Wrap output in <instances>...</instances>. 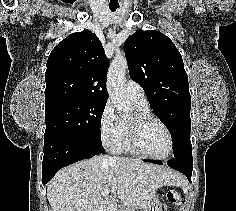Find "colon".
Masks as SVG:
<instances>
[{
	"label": "colon",
	"mask_w": 236,
	"mask_h": 211,
	"mask_svg": "<svg viewBox=\"0 0 236 211\" xmlns=\"http://www.w3.org/2000/svg\"><path fill=\"white\" fill-rule=\"evenodd\" d=\"M167 197L171 205H178L181 201V195L177 191H170Z\"/></svg>",
	"instance_id": "colon-1"
}]
</instances>
